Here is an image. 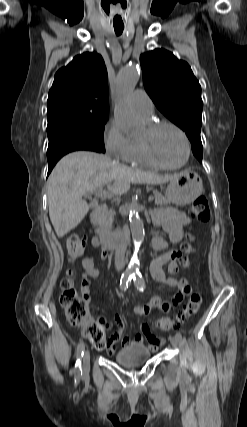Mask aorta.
Returning a JSON list of instances; mask_svg holds the SVG:
<instances>
[{
	"instance_id": "obj_1",
	"label": "aorta",
	"mask_w": 247,
	"mask_h": 427,
	"mask_svg": "<svg viewBox=\"0 0 247 427\" xmlns=\"http://www.w3.org/2000/svg\"><path fill=\"white\" fill-rule=\"evenodd\" d=\"M139 80L138 69L135 65H127L120 69L117 75L116 92L118 104L115 107L114 119L120 129L128 136H136L140 132V124L128 106V100ZM132 238L138 248L145 237L143 221L139 212L132 208L129 213ZM137 270L136 260L132 259L128 266V272Z\"/></svg>"
}]
</instances>
